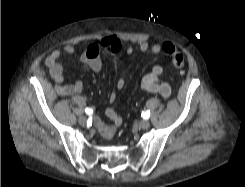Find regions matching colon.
Returning a JSON list of instances; mask_svg holds the SVG:
<instances>
[{"label":"colon","mask_w":245,"mask_h":187,"mask_svg":"<svg viewBox=\"0 0 245 187\" xmlns=\"http://www.w3.org/2000/svg\"><path fill=\"white\" fill-rule=\"evenodd\" d=\"M164 53L167 54L173 66L180 72L184 71L185 67V56L183 53L178 51L172 44L166 43L163 46Z\"/></svg>","instance_id":"1"}]
</instances>
